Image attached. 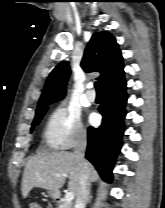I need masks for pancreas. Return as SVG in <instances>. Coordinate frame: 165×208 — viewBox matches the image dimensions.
Wrapping results in <instances>:
<instances>
[{"label": "pancreas", "instance_id": "1", "mask_svg": "<svg viewBox=\"0 0 165 208\" xmlns=\"http://www.w3.org/2000/svg\"><path fill=\"white\" fill-rule=\"evenodd\" d=\"M57 208H72L71 204L64 201L62 203H60V205Z\"/></svg>", "mask_w": 165, "mask_h": 208}]
</instances>
